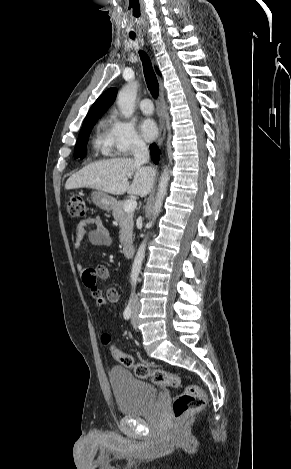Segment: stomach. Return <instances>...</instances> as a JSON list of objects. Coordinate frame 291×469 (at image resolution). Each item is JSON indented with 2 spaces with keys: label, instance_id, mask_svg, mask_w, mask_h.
Masks as SVG:
<instances>
[{
  "label": "stomach",
  "instance_id": "1",
  "mask_svg": "<svg viewBox=\"0 0 291 469\" xmlns=\"http://www.w3.org/2000/svg\"><path fill=\"white\" fill-rule=\"evenodd\" d=\"M92 202L100 209L110 211L116 205V199L103 191H93L91 193Z\"/></svg>",
  "mask_w": 291,
  "mask_h": 469
}]
</instances>
